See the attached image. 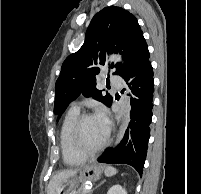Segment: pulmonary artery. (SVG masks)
<instances>
[{"label":"pulmonary artery","mask_w":201,"mask_h":194,"mask_svg":"<svg viewBox=\"0 0 201 194\" xmlns=\"http://www.w3.org/2000/svg\"><path fill=\"white\" fill-rule=\"evenodd\" d=\"M109 79H110V82H111L117 89H121V87H122V79H121L120 76L111 75ZM72 107L78 109V106H77L76 104H73Z\"/></svg>","instance_id":"e3ab8cb5"}]
</instances>
